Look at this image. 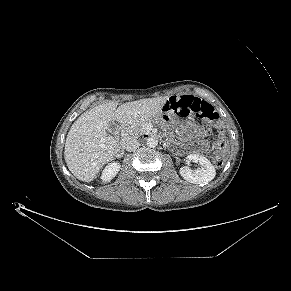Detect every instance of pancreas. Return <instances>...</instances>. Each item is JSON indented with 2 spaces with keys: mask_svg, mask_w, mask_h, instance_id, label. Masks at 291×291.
I'll list each match as a JSON object with an SVG mask.
<instances>
[{
  "mask_svg": "<svg viewBox=\"0 0 291 291\" xmlns=\"http://www.w3.org/2000/svg\"><path fill=\"white\" fill-rule=\"evenodd\" d=\"M146 123H147V121L140 122V123H134L132 125H128V126L124 127V129L122 131L123 139L127 140V139L132 138V137L138 138L139 136L144 134L146 132V130L144 129V126Z\"/></svg>",
  "mask_w": 291,
  "mask_h": 291,
  "instance_id": "pancreas-1",
  "label": "pancreas"
}]
</instances>
